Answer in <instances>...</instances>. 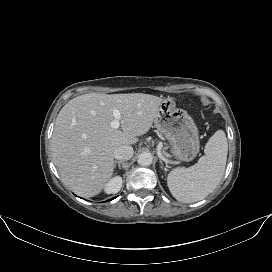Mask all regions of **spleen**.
Returning <instances> with one entry per match:
<instances>
[{"instance_id":"spleen-1","label":"spleen","mask_w":272,"mask_h":272,"mask_svg":"<svg viewBox=\"0 0 272 272\" xmlns=\"http://www.w3.org/2000/svg\"><path fill=\"white\" fill-rule=\"evenodd\" d=\"M205 155L189 168H176L168 174L167 185L175 199L197 202L211 193L220 182L226 166L227 138L222 130L208 140Z\"/></svg>"}]
</instances>
